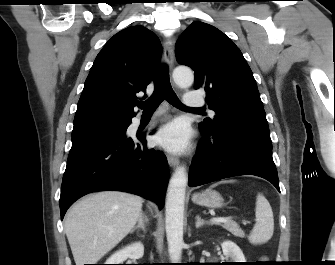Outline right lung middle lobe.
I'll list each match as a JSON object with an SVG mask.
<instances>
[{
  "instance_id": "obj_1",
  "label": "right lung middle lobe",
  "mask_w": 335,
  "mask_h": 265,
  "mask_svg": "<svg viewBox=\"0 0 335 265\" xmlns=\"http://www.w3.org/2000/svg\"><path fill=\"white\" fill-rule=\"evenodd\" d=\"M130 122L92 123L74 126L72 143L94 138H119L125 135Z\"/></svg>"
}]
</instances>
